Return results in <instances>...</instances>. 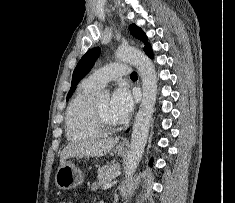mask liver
Here are the masks:
<instances>
[{"label": "liver", "instance_id": "1", "mask_svg": "<svg viewBox=\"0 0 235 203\" xmlns=\"http://www.w3.org/2000/svg\"><path fill=\"white\" fill-rule=\"evenodd\" d=\"M119 138H111L104 140H93L77 144L67 145L61 152L60 165L68 158L73 157H101L109 153L117 144Z\"/></svg>", "mask_w": 235, "mask_h": 203}]
</instances>
